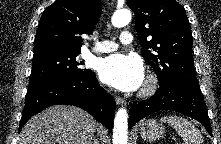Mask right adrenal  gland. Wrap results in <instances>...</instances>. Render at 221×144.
Returning <instances> with one entry per match:
<instances>
[{
  "mask_svg": "<svg viewBox=\"0 0 221 144\" xmlns=\"http://www.w3.org/2000/svg\"><path fill=\"white\" fill-rule=\"evenodd\" d=\"M93 144H99V142L96 138H94V143Z\"/></svg>",
  "mask_w": 221,
  "mask_h": 144,
  "instance_id": "obj_1",
  "label": "right adrenal gland"
}]
</instances>
